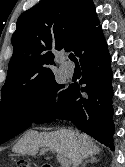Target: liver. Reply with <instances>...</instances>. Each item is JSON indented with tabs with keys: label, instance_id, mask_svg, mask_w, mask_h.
Instances as JSON below:
<instances>
[{
	"label": "liver",
	"instance_id": "6515ba94",
	"mask_svg": "<svg viewBox=\"0 0 125 167\" xmlns=\"http://www.w3.org/2000/svg\"><path fill=\"white\" fill-rule=\"evenodd\" d=\"M41 147L68 158L73 167H78L84 158L100 152L88 135L65 128L51 132L29 131L12 150L18 154L36 156Z\"/></svg>",
	"mask_w": 125,
	"mask_h": 167
}]
</instances>
